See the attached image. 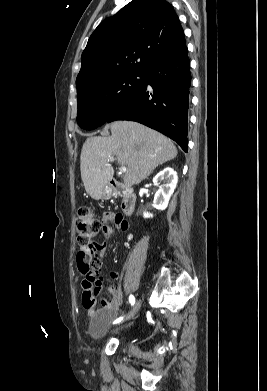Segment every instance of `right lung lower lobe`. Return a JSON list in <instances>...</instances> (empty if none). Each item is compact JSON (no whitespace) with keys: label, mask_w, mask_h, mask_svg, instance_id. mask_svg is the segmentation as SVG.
I'll return each instance as SVG.
<instances>
[{"label":"right lung lower lobe","mask_w":267,"mask_h":391,"mask_svg":"<svg viewBox=\"0 0 267 391\" xmlns=\"http://www.w3.org/2000/svg\"><path fill=\"white\" fill-rule=\"evenodd\" d=\"M143 77L142 87L114 111L107 122L132 120L142 123L170 137L187 152L191 85L187 46L150 64Z\"/></svg>","instance_id":"1"}]
</instances>
